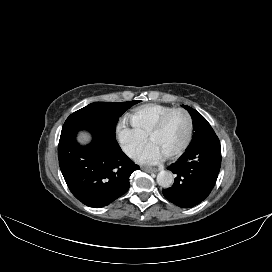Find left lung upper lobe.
<instances>
[{
    "label": "left lung upper lobe",
    "instance_id": "obj_1",
    "mask_svg": "<svg viewBox=\"0 0 272 272\" xmlns=\"http://www.w3.org/2000/svg\"><path fill=\"white\" fill-rule=\"evenodd\" d=\"M183 107L190 113L193 120V128L195 130L192 141L188 147L200 144L216 136L210 124L201 114L187 105H183Z\"/></svg>",
    "mask_w": 272,
    "mask_h": 272
}]
</instances>
